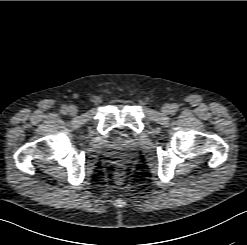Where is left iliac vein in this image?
Wrapping results in <instances>:
<instances>
[{
    "label": "left iliac vein",
    "instance_id": "obj_1",
    "mask_svg": "<svg viewBox=\"0 0 247 245\" xmlns=\"http://www.w3.org/2000/svg\"><path fill=\"white\" fill-rule=\"evenodd\" d=\"M161 109H162L163 114L165 115L170 114V112L172 111V107L170 104H164Z\"/></svg>",
    "mask_w": 247,
    "mask_h": 245
}]
</instances>
